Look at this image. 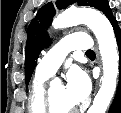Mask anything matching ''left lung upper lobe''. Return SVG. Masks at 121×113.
I'll return each instance as SVG.
<instances>
[{"label":"left lung upper lobe","mask_w":121,"mask_h":113,"mask_svg":"<svg viewBox=\"0 0 121 113\" xmlns=\"http://www.w3.org/2000/svg\"><path fill=\"white\" fill-rule=\"evenodd\" d=\"M74 2H78L79 6H91L102 11L109 20L113 18L111 9L106 0H57L56 7L58 9H64ZM54 14L55 9L53 4L48 3L38 11L36 17L28 27V38L25 51L26 85H28L30 81L40 51L43 47L50 44V39L44 29L49 27Z\"/></svg>","instance_id":"obj_1"}]
</instances>
